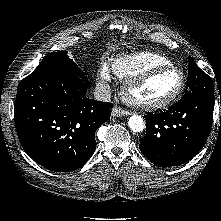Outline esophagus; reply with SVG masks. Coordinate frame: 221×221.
I'll use <instances>...</instances> for the list:
<instances>
[{"instance_id": "esophagus-1", "label": "esophagus", "mask_w": 221, "mask_h": 221, "mask_svg": "<svg viewBox=\"0 0 221 221\" xmlns=\"http://www.w3.org/2000/svg\"><path fill=\"white\" fill-rule=\"evenodd\" d=\"M130 112L118 107L114 106L111 112L112 117H122V116H127L129 115Z\"/></svg>"}]
</instances>
